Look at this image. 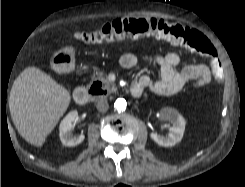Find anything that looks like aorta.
I'll use <instances>...</instances> for the list:
<instances>
[{"mask_svg": "<svg viewBox=\"0 0 245 187\" xmlns=\"http://www.w3.org/2000/svg\"><path fill=\"white\" fill-rule=\"evenodd\" d=\"M126 100L123 98H119L115 101L114 107L118 112H123L126 109Z\"/></svg>", "mask_w": 245, "mask_h": 187, "instance_id": "obj_1", "label": "aorta"}]
</instances>
